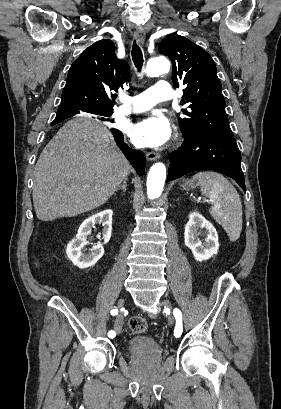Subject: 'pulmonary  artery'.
Masks as SVG:
<instances>
[{
	"instance_id": "1",
	"label": "pulmonary artery",
	"mask_w": 281,
	"mask_h": 409,
	"mask_svg": "<svg viewBox=\"0 0 281 409\" xmlns=\"http://www.w3.org/2000/svg\"><path fill=\"white\" fill-rule=\"evenodd\" d=\"M157 90H143L142 94H133V102H125L123 108L116 109L117 113H130L148 110L158 103L172 99L174 96L173 83L171 81H157L155 83Z\"/></svg>"
}]
</instances>
